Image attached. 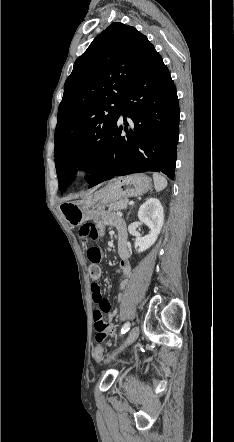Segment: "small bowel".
Returning <instances> with one entry per match:
<instances>
[{"label":"small bowel","mask_w":234,"mask_h":442,"mask_svg":"<svg viewBox=\"0 0 234 442\" xmlns=\"http://www.w3.org/2000/svg\"><path fill=\"white\" fill-rule=\"evenodd\" d=\"M97 238L103 236L104 229L108 226L116 229L118 233V254L120 257V263L116 272L121 274L122 281L120 284L121 291H123L127 285V282L131 276V266L129 264V249L127 246V231L126 224L122 217L112 213L99 212L95 217ZM98 284H92L91 291L94 286ZM99 286V285H98ZM118 301L121 302L123 299L122 293L117 297ZM109 314H95L93 317V326L96 328L97 341L102 342L107 335L114 336L115 330L112 327V321L118 315V309L109 310ZM95 357V356H94Z\"/></svg>","instance_id":"small-bowel-1"}]
</instances>
